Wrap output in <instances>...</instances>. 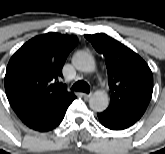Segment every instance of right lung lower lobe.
<instances>
[{"mask_svg":"<svg viewBox=\"0 0 165 154\" xmlns=\"http://www.w3.org/2000/svg\"><path fill=\"white\" fill-rule=\"evenodd\" d=\"M74 99L75 96L68 93L20 118L30 128L38 131H49L61 123L67 108Z\"/></svg>","mask_w":165,"mask_h":154,"instance_id":"98d812e1","label":"right lung lower lobe"}]
</instances>
